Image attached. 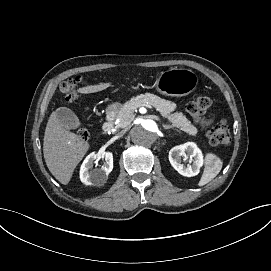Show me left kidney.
I'll return each instance as SVG.
<instances>
[{
	"instance_id": "left-kidney-1",
	"label": "left kidney",
	"mask_w": 271,
	"mask_h": 271,
	"mask_svg": "<svg viewBox=\"0 0 271 271\" xmlns=\"http://www.w3.org/2000/svg\"><path fill=\"white\" fill-rule=\"evenodd\" d=\"M181 157H184V161L190 157L189 161L192 164L185 166L181 163ZM169 161L179 174L186 177H192L199 173L200 167L203 164V155L196 143L186 142L173 147L169 151Z\"/></svg>"
}]
</instances>
